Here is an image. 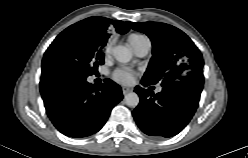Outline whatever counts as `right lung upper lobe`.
I'll return each mask as SVG.
<instances>
[{
  "label": "right lung upper lobe",
  "mask_w": 248,
  "mask_h": 158,
  "mask_svg": "<svg viewBox=\"0 0 248 158\" xmlns=\"http://www.w3.org/2000/svg\"><path fill=\"white\" fill-rule=\"evenodd\" d=\"M111 26H114L116 31L121 34L129 30L124 22L104 17H90L71 25L69 28L79 32L86 41L98 46H105L109 38L107 30Z\"/></svg>",
  "instance_id": "obj_1"
}]
</instances>
